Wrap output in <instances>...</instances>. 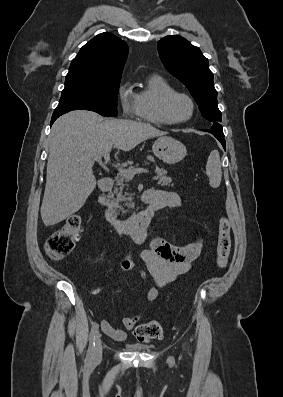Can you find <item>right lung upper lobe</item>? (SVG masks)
<instances>
[{
  "instance_id": "right-lung-upper-lobe-1",
  "label": "right lung upper lobe",
  "mask_w": 283,
  "mask_h": 397,
  "mask_svg": "<svg viewBox=\"0 0 283 397\" xmlns=\"http://www.w3.org/2000/svg\"><path fill=\"white\" fill-rule=\"evenodd\" d=\"M128 56V45L105 32L85 44L72 60L69 72L103 79H121Z\"/></svg>"
}]
</instances>
